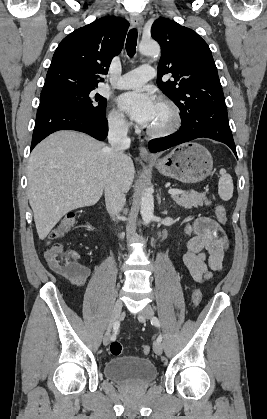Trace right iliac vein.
Returning a JSON list of instances; mask_svg holds the SVG:
<instances>
[{
    "label": "right iliac vein",
    "mask_w": 267,
    "mask_h": 419,
    "mask_svg": "<svg viewBox=\"0 0 267 419\" xmlns=\"http://www.w3.org/2000/svg\"><path fill=\"white\" fill-rule=\"evenodd\" d=\"M122 311V301L121 300H117L113 306L112 312H111V316H110V322H109V326L107 328V331L104 335L103 338V344L106 346L109 344L110 342V337H111V329L112 326L114 325V323L116 321H118L120 314Z\"/></svg>",
    "instance_id": "obj_1"
}]
</instances>
